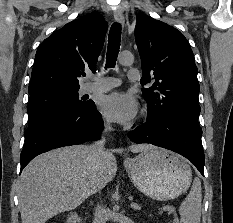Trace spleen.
Listing matches in <instances>:
<instances>
[{
  "label": "spleen",
  "instance_id": "obj_1",
  "mask_svg": "<svg viewBox=\"0 0 233 223\" xmlns=\"http://www.w3.org/2000/svg\"><path fill=\"white\" fill-rule=\"evenodd\" d=\"M201 199V181L199 177H194L191 191H189L179 207L181 223H200Z\"/></svg>",
  "mask_w": 233,
  "mask_h": 223
}]
</instances>
